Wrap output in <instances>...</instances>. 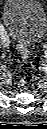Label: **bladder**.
<instances>
[{
	"instance_id": "31cf9c89",
	"label": "bladder",
	"mask_w": 47,
	"mask_h": 129,
	"mask_svg": "<svg viewBox=\"0 0 47 129\" xmlns=\"http://www.w3.org/2000/svg\"><path fill=\"white\" fill-rule=\"evenodd\" d=\"M2 20L18 46L26 50L46 32V15L37 0H7Z\"/></svg>"
}]
</instances>
